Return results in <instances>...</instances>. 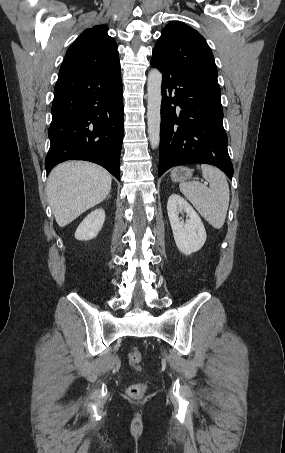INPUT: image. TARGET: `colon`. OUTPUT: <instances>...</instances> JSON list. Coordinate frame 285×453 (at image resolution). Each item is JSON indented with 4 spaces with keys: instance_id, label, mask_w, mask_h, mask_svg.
Masks as SVG:
<instances>
[{
    "instance_id": "colon-1",
    "label": "colon",
    "mask_w": 285,
    "mask_h": 453,
    "mask_svg": "<svg viewBox=\"0 0 285 453\" xmlns=\"http://www.w3.org/2000/svg\"><path fill=\"white\" fill-rule=\"evenodd\" d=\"M128 361H129L130 366L133 369L140 371L142 369V367H141V364H142L141 351L138 348H133L130 351V353L128 354ZM146 388H147V386L145 383H135L128 387L127 394L131 398H140L145 393Z\"/></svg>"
}]
</instances>
